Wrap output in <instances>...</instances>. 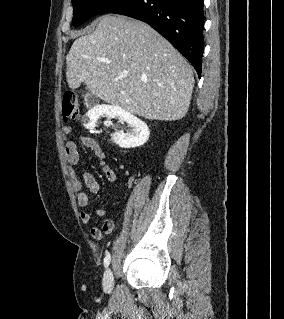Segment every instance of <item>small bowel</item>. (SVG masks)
Returning <instances> with one entry per match:
<instances>
[{
  "label": "small bowel",
  "mask_w": 284,
  "mask_h": 319,
  "mask_svg": "<svg viewBox=\"0 0 284 319\" xmlns=\"http://www.w3.org/2000/svg\"><path fill=\"white\" fill-rule=\"evenodd\" d=\"M72 132V127L65 125L63 127L64 137L68 136ZM82 143L85 147L90 149L96 159L99 162L101 170L105 178L114 182L116 180V173L114 170L105 162V152L100 143L92 137L84 136ZM65 155L69 164V174L72 182L74 191L76 192L77 201L80 207L85 208L89 204L90 194H96L100 190V184L97 179L84 167L76 169V166L81 164L80 154L77 145L73 141H66L65 143ZM96 214L98 216H104L105 211L97 209ZM81 221L84 225H89L92 221V215L87 211H82L80 214ZM115 229V222L112 219H106L103 225L93 226L90 229V233L93 238L101 240L104 235L111 234Z\"/></svg>",
  "instance_id": "c3829d8e"
}]
</instances>
